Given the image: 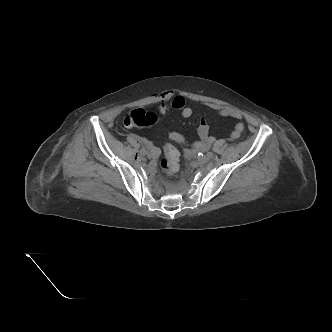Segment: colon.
<instances>
[{"instance_id":"1","label":"colon","mask_w":332,"mask_h":332,"mask_svg":"<svg viewBox=\"0 0 332 332\" xmlns=\"http://www.w3.org/2000/svg\"><path fill=\"white\" fill-rule=\"evenodd\" d=\"M157 121V116L152 112L143 109H135L129 112L124 124L128 127H145L151 126ZM164 158L160 162L161 168L166 173H175L179 169L180 154L178 149L172 144H166L164 147Z\"/></svg>"}]
</instances>
